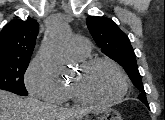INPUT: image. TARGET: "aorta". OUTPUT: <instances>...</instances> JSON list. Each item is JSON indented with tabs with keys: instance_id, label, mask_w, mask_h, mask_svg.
<instances>
[{
	"instance_id": "1",
	"label": "aorta",
	"mask_w": 165,
	"mask_h": 120,
	"mask_svg": "<svg viewBox=\"0 0 165 120\" xmlns=\"http://www.w3.org/2000/svg\"><path fill=\"white\" fill-rule=\"evenodd\" d=\"M67 34L68 24L61 18H53L39 49V57L53 76H60L66 70L63 48Z\"/></svg>"
}]
</instances>
